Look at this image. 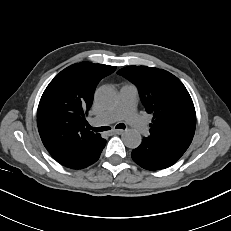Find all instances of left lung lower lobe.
<instances>
[{"label": "left lung lower lobe", "instance_id": "1", "mask_svg": "<svg viewBox=\"0 0 231 231\" xmlns=\"http://www.w3.org/2000/svg\"><path fill=\"white\" fill-rule=\"evenodd\" d=\"M184 152L172 142L144 137L140 146L132 151L131 156L142 168L154 171L170 167Z\"/></svg>", "mask_w": 231, "mask_h": 231}]
</instances>
